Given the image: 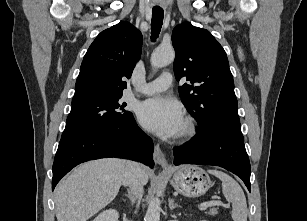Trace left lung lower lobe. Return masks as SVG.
Masks as SVG:
<instances>
[{"label":"left lung lower lobe","mask_w":307,"mask_h":221,"mask_svg":"<svg viewBox=\"0 0 307 221\" xmlns=\"http://www.w3.org/2000/svg\"><path fill=\"white\" fill-rule=\"evenodd\" d=\"M173 152L174 165L223 167L239 176L251 192V167L244 141L221 132L201 133L191 138L185 146L174 148Z\"/></svg>","instance_id":"obj_1"}]
</instances>
